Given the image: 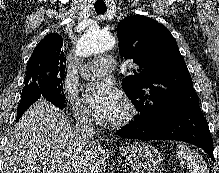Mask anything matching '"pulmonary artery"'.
Wrapping results in <instances>:
<instances>
[{"mask_svg":"<svg viewBox=\"0 0 219 173\" xmlns=\"http://www.w3.org/2000/svg\"><path fill=\"white\" fill-rule=\"evenodd\" d=\"M116 67V61L113 56L104 55L84 64L81 67L80 74L85 79H95L104 73L111 72Z\"/></svg>","mask_w":219,"mask_h":173,"instance_id":"e3ab8cb5","label":"pulmonary artery"}]
</instances>
